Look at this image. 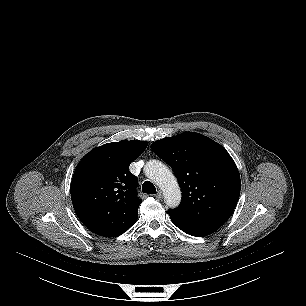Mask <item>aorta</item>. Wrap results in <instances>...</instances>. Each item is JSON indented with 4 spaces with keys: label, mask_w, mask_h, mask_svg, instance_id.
<instances>
[{
    "label": "aorta",
    "mask_w": 306,
    "mask_h": 306,
    "mask_svg": "<svg viewBox=\"0 0 306 306\" xmlns=\"http://www.w3.org/2000/svg\"><path fill=\"white\" fill-rule=\"evenodd\" d=\"M145 175L152 180L164 194L170 208H176L181 202V190L172 172L158 160H150L144 166Z\"/></svg>",
    "instance_id": "aorta-1"
}]
</instances>
